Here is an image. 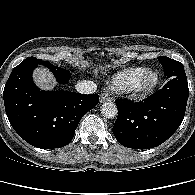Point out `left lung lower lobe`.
I'll use <instances>...</instances> for the list:
<instances>
[{
	"mask_svg": "<svg viewBox=\"0 0 195 195\" xmlns=\"http://www.w3.org/2000/svg\"><path fill=\"white\" fill-rule=\"evenodd\" d=\"M188 93L186 76H176L140 102L115 100L118 107L113 126L115 138L123 146L134 149H149L162 144L182 123Z\"/></svg>",
	"mask_w": 195,
	"mask_h": 195,
	"instance_id": "obj_1",
	"label": "left lung lower lobe"
}]
</instances>
